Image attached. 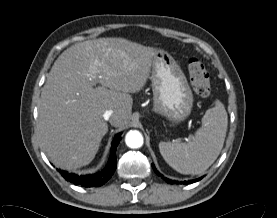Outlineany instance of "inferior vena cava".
Wrapping results in <instances>:
<instances>
[{
	"instance_id": "602c4592",
	"label": "inferior vena cava",
	"mask_w": 277,
	"mask_h": 218,
	"mask_svg": "<svg viewBox=\"0 0 277 218\" xmlns=\"http://www.w3.org/2000/svg\"><path fill=\"white\" fill-rule=\"evenodd\" d=\"M112 116H113L112 110H106L103 114V117L105 120H111Z\"/></svg>"
}]
</instances>
